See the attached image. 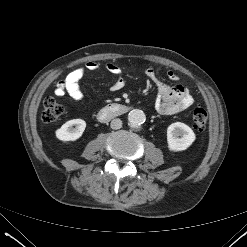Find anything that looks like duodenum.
I'll list each match as a JSON object with an SVG mask.
<instances>
[{"instance_id":"410a0bca","label":"duodenum","mask_w":247,"mask_h":247,"mask_svg":"<svg viewBox=\"0 0 247 247\" xmlns=\"http://www.w3.org/2000/svg\"><path fill=\"white\" fill-rule=\"evenodd\" d=\"M129 111V107L124 104L112 103L103 107L98 113V119L106 122L114 117L125 114Z\"/></svg>"}]
</instances>
